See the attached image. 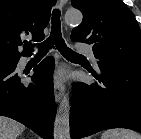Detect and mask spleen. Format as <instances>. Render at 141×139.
I'll use <instances>...</instances> for the list:
<instances>
[{
  "instance_id": "1",
  "label": "spleen",
  "mask_w": 141,
  "mask_h": 139,
  "mask_svg": "<svg viewBox=\"0 0 141 139\" xmlns=\"http://www.w3.org/2000/svg\"><path fill=\"white\" fill-rule=\"evenodd\" d=\"M101 139H141V135L127 129H110L102 134Z\"/></svg>"
}]
</instances>
